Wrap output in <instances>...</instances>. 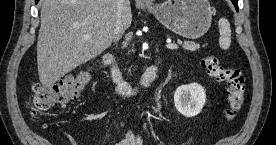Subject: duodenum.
<instances>
[{
    "label": "duodenum",
    "mask_w": 276,
    "mask_h": 145,
    "mask_svg": "<svg viewBox=\"0 0 276 145\" xmlns=\"http://www.w3.org/2000/svg\"><path fill=\"white\" fill-rule=\"evenodd\" d=\"M161 61L162 58L157 56L154 62L143 73L140 81L136 85H132L115 66L112 55L107 54L104 57V62L110 70L113 81L117 84L120 94L126 98L135 97L141 89L149 87L155 81Z\"/></svg>",
    "instance_id": "410a0bca"
}]
</instances>
